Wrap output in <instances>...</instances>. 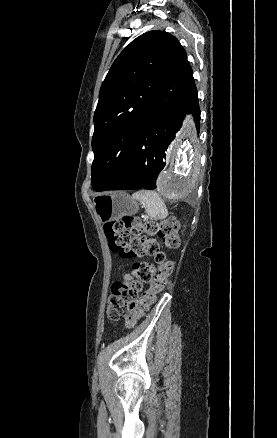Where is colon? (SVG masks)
<instances>
[{
  "label": "colon",
  "mask_w": 277,
  "mask_h": 438,
  "mask_svg": "<svg viewBox=\"0 0 277 438\" xmlns=\"http://www.w3.org/2000/svg\"><path fill=\"white\" fill-rule=\"evenodd\" d=\"M104 232L112 252L124 259L151 256L156 266L149 262L136 263L132 268L134 280H120L108 300L107 313L110 320L126 318V325L133 326L155 302L173 273V264L165 259L162 244L167 248L179 245L180 224L175 218L161 222L142 221L124 215L120 221H110ZM146 233L145 236H141ZM158 275L153 277L154 272ZM152 281L151 289L139 297L141 284Z\"/></svg>",
  "instance_id": "obj_1"
}]
</instances>
